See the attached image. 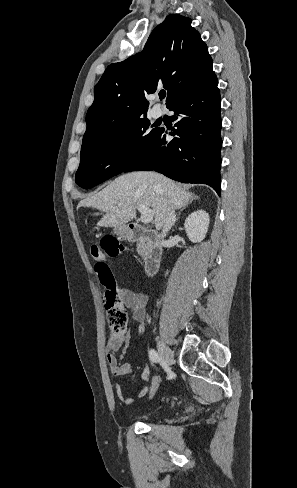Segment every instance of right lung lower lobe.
<instances>
[{"instance_id": "right-lung-lower-lobe-1", "label": "right lung lower lobe", "mask_w": 297, "mask_h": 488, "mask_svg": "<svg viewBox=\"0 0 297 488\" xmlns=\"http://www.w3.org/2000/svg\"><path fill=\"white\" fill-rule=\"evenodd\" d=\"M216 75L181 96L169 110L172 132L159 130L146 150L123 172L155 170L183 183L210 185L220 196L222 127ZM171 136H177L172 140Z\"/></svg>"}]
</instances>
